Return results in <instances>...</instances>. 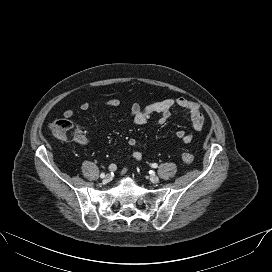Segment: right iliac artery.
I'll return each instance as SVG.
<instances>
[{
	"label": "right iliac artery",
	"instance_id": "obj_1",
	"mask_svg": "<svg viewBox=\"0 0 272 272\" xmlns=\"http://www.w3.org/2000/svg\"><path fill=\"white\" fill-rule=\"evenodd\" d=\"M100 177H101V178H104V177H105V174H104V173H101Z\"/></svg>",
	"mask_w": 272,
	"mask_h": 272
}]
</instances>
